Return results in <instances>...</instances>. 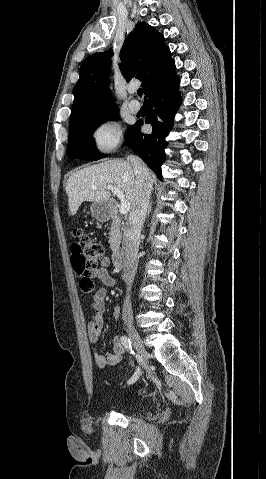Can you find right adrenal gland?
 <instances>
[{
    "label": "right adrenal gland",
    "mask_w": 266,
    "mask_h": 479,
    "mask_svg": "<svg viewBox=\"0 0 266 479\" xmlns=\"http://www.w3.org/2000/svg\"><path fill=\"white\" fill-rule=\"evenodd\" d=\"M150 212H151V204L148 207V215H149Z\"/></svg>",
    "instance_id": "obj_1"
}]
</instances>
